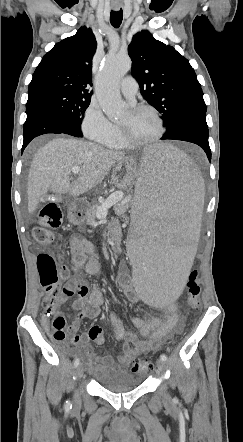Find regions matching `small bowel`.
I'll return each mask as SVG.
<instances>
[{
	"mask_svg": "<svg viewBox=\"0 0 243 442\" xmlns=\"http://www.w3.org/2000/svg\"><path fill=\"white\" fill-rule=\"evenodd\" d=\"M111 228L114 229L115 226L112 225ZM70 252L72 256L71 268L74 274L65 289L72 292L77 290L78 297L73 302V309L76 313L71 317L67 331L70 334L71 342L77 347V352L83 357L91 372L125 371L133 357L156 351L168 338L180 331L179 315L176 306L173 304L170 307H164L163 314L160 317L150 320L132 319V325L139 330L142 339L138 338L135 333L126 331L122 322L114 318L115 333L113 337L115 340L123 342L122 353L116 358L109 355L97 356L91 351L89 343L104 344L105 338L102 328L98 324H93L83 336H78L76 332L82 319H96L101 314L104 306V298L100 290L90 289L87 281L79 275L81 270L89 275L96 274L100 267L99 258L94 253L93 243L80 237H74L71 240ZM117 282L131 302H138L139 296L134 295L132 281L127 273L121 272L118 275ZM70 296L59 299L58 306L55 309L57 314L60 305ZM48 320L49 316L45 314L42 322L46 328H49Z\"/></svg>",
	"mask_w": 243,
	"mask_h": 442,
	"instance_id": "1",
	"label": "small bowel"
}]
</instances>
